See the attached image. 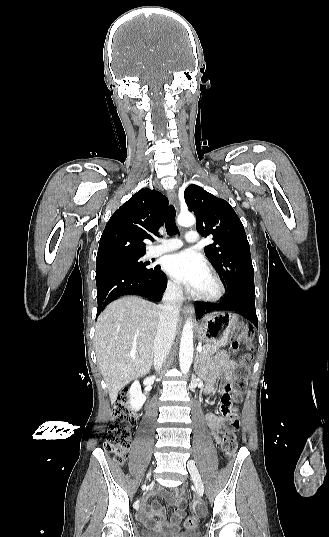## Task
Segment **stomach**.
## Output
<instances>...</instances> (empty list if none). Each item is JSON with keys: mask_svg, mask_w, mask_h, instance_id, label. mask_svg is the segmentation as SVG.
<instances>
[{"mask_svg": "<svg viewBox=\"0 0 329 537\" xmlns=\"http://www.w3.org/2000/svg\"><path fill=\"white\" fill-rule=\"evenodd\" d=\"M201 340L216 346H225L232 336L242 333V325L238 316L232 313H215L205 317L198 330Z\"/></svg>", "mask_w": 329, "mask_h": 537, "instance_id": "0dacf381", "label": "stomach"}]
</instances>
